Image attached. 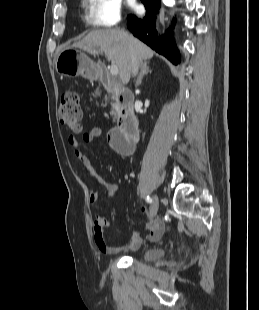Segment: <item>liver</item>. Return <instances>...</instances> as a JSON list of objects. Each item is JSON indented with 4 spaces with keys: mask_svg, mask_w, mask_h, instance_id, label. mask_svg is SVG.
I'll return each instance as SVG.
<instances>
[{
    "mask_svg": "<svg viewBox=\"0 0 259 310\" xmlns=\"http://www.w3.org/2000/svg\"><path fill=\"white\" fill-rule=\"evenodd\" d=\"M72 47L91 53H94L96 48H100L108 60L117 65L123 84H127L131 77L132 55H135L140 62L149 60L154 55V51L147 45L119 29L91 31L80 42L74 43Z\"/></svg>",
    "mask_w": 259,
    "mask_h": 310,
    "instance_id": "6515ba94",
    "label": "liver"
}]
</instances>
